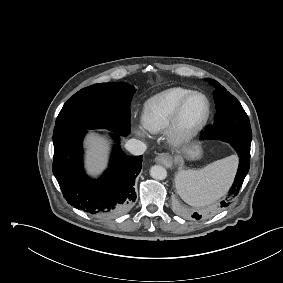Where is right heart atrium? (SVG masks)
<instances>
[{
    "instance_id": "obj_1",
    "label": "right heart atrium",
    "mask_w": 283,
    "mask_h": 283,
    "mask_svg": "<svg viewBox=\"0 0 283 283\" xmlns=\"http://www.w3.org/2000/svg\"><path fill=\"white\" fill-rule=\"evenodd\" d=\"M135 133L140 137H145V131L141 127L135 128Z\"/></svg>"
}]
</instances>
